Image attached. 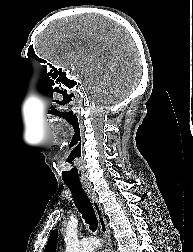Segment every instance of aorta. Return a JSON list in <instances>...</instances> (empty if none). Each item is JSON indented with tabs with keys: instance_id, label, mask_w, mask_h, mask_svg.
<instances>
[{
	"instance_id": "1",
	"label": "aorta",
	"mask_w": 193,
	"mask_h": 252,
	"mask_svg": "<svg viewBox=\"0 0 193 252\" xmlns=\"http://www.w3.org/2000/svg\"><path fill=\"white\" fill-rule=\"evenodd\" d=\"M100 241L95 238L83 239L82 241L68 240L65 252H95Z\"/></svg>"
}]
</instances>
